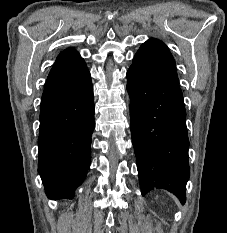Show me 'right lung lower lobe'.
Instances as JSON below:
<instances>
[{"label":"right lung lower lobe","mask_w":227,"mask_h":233,"mask_svg":"<svg viewBox=\"0 0 227 233\" xmlns=\"http://www.w3.org/2000/svg\"><path fill=\"white\" fill-rule=\"evenodd\" d=\"M91 79L40 109L38 172L49 199L74 197L90 166L94 130Z\"/></svg>","instance_id":"98d812e1"}]
</instances>
